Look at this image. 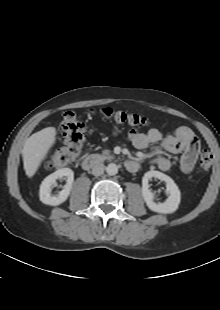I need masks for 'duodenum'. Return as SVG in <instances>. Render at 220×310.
Masks as SVG:
<instances>
[{
	"label": "duodenum",
	"mask_w": 220,
	"mask_h": 310,
	"mask_svg": "<svg viewBox=\"0 0 220 310\" xmlns=\"http://www.w3.org/2000/svg\"><path fill=\"white\" fill-rule=\"evenodd\" d=\"M101 162V158L97 155H88L83 158L81 166L84 170H91L97 167ZM138 163L134 160L126 161V168L129 172H135L138 170Z\"/></svg>",
	"instance_id": "1"
}]
</instances>
